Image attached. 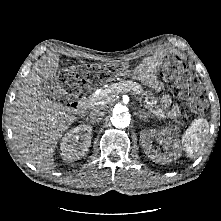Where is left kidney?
<instances>
[{
	"instance_id": "left-kidney-1",
	"label": "left kidney",
	"mask_w": 221,
	"mask_h": 221,
	"mask_svg": "<svg viewBox=\"0 0 221 221\" xmlns=\"http://www.w3.org/2000/svg\"><path fill=\"white\" fill-rule=\"evenodd\" d=\"M154 137L157 138L161 145L166 149L164 154L160 153L157 149H153L151 138ZM140 138L146 155L153 161L168 163L180 155L177 152L179 143L167 129L161 130V132L153 130L142 132Z\"/></svg>"
}]
</instances>
